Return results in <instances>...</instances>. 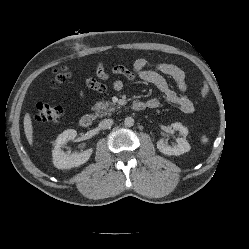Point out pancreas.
<instances>
[{"label":"pancreas","mask_w":249,"mask_h":249,"mask_svg":"<svg viewBox=\"0 0 249 249\" xmlns=\"http://www.w3.org/2000/svg\"><path fill=\"white\" fill-rule=\"evenodd\" d=\"M117 107L109 101L106 102H101L98 101L95 106H94V110L96 112V116H105L107 114H111Z\"/></svg>","instance_id":"1"}]
</instances>
